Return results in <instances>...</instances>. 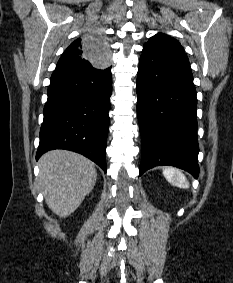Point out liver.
<instances>
[{
    "instance_id": "liver-1",
    "label": "liver",
    "mask_w": 233,
    "mask_h": 283,
    "mask_svg": "<svg viewBox=\"0 0 233 283\" xmlns=\"http://www.w3.org/2000/svg\"><path fill=\"white\" fill-rule=\"evenodd\" d=\"M38 165V185L46 204L61 218L72 214L96 183L94 163L75 152L51 150Z\"/></svg>"
}]
</instances>
